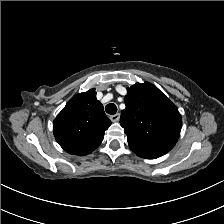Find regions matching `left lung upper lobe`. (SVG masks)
<instances>
[{"instance_id": "left-lung-upper-lobe-1", "label": "left lung upper lobe", "mask_w": 224, "mask_h": 224, "mask_svg": "<svg viewBox=\"0 0 224 224\" xmlns=\"http://www.w3.org/2000/svg\"><path fill=\"white\" fill-rule=\"evenodd\" d=\"M120 124L138 156L158 158L176 144L182 128L177 107L155 85L136 83L127 89Z\"/></svg>"}]
</instances>
